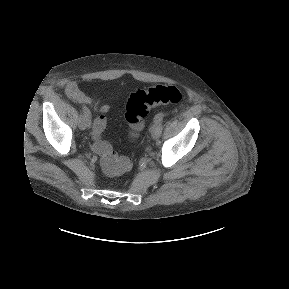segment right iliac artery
Instances as JSON below:
<instances>
[{"instance_id":"obj_1","label":"right iliac artery","mask_w":289,"mask_h":289,"mask_svg":"<svg viewBox=\"0 0 289 289\" xmlns=\"http://www.w3.org/2000/svg\"><path fill=\"white\" fill-rule=\"evenodd\" d=\"M82 109H83V115L87 118H91L90 110L85 106Z\"/></svg>"}]
</instances>
